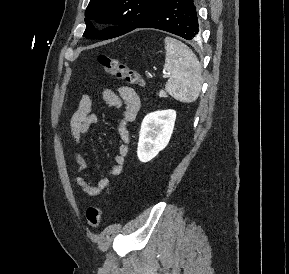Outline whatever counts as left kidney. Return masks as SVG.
Masks as SVG:
<instances>
[{
	"mask_svg": "<svg viewBox=\"0 0 289 274\" xmlns=\"http://www.w3.org/2000/svg\"><path fill=\"white\" fill-rule=\"evenodd\" d=\"M176 120L174 110L156 111L145 116L141 124L137 156L141 162L152 160L170 141Z\"/></svg>",
	"mask_w": 289,
	"mask_h": 274,
	"instance_id": "obj_1",
	"label": "left kidney"
}]
</instances>
